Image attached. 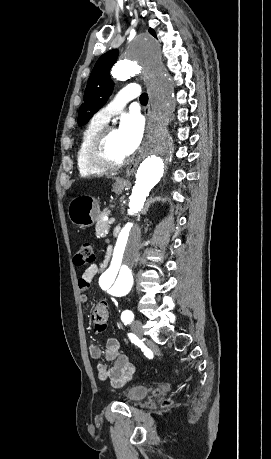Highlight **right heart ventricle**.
I'll list each match as a JSON object with an SVG mask.
<instances>
[{"label":"right heart ventricle","mask_w":271,"mask_h":459,"mask_svg":"<svg viewBox=\"0 0 271 459\" xmlns=\"http://www.w3.org/2000/svg\"><path fill=\"white\" fill-rule=\"evenodd\" d=\"M105 124L99 123L93 118L82 130L79 142L76 149L75 162L77 172L82 178H91L106 172L109 168L98 167L91 165L86 158V148L90 139L102 128Z\"/></svg>","instance_id":"obj_1"}]
</instances>
